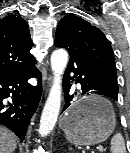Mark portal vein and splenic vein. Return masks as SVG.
<instances>
[{"mask_svg": "<svg viewBox=\"0 0 130 153\" xmlns=\"http://www.w3.org/2000/svg\"><path fill=\"white\" fill-rule=\"evenodd\" d=\"M99 150H100V151H103L104 148H103L102 146H99Z\"/></svg>", "mask_w": 130, "mask_h": 153, "instance_id": "1", "label": "portal vein and splenic vein"}]
</instances>
